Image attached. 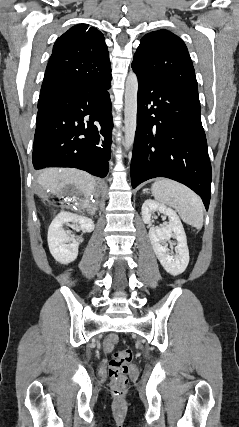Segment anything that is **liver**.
Returning <instances> with one entry per match:
<instances>
[{"label": "liver", "instance_id": "liver-1", "mask_svg": "<svg viewBox=\"0 0 239 427\" xmlns=\"http://www.w3.org/2000/svg\"><path fill=\"white\" fill-rule=\"evenodd\" d=\"M43 196L46 197V192L60 196L64 189L72 185L77 190L78 196H83V199L73 197V201H78L80 209L88 208L90 205V196L94 194L96 187V178L89 173L75 168H49L39 174L38 179ZM93 202H95L93 200Z\"/></svg>", "mask_w": 239, "mask_h": 427}]
</instances>
